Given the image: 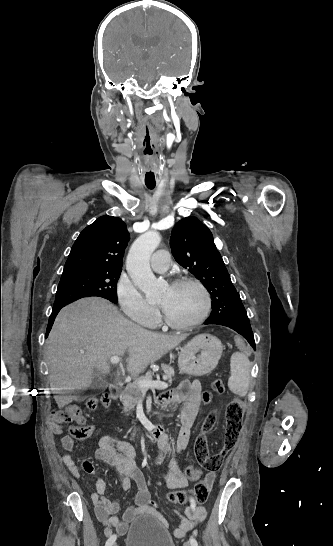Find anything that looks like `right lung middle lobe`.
I'll return each mask as SVG.
<instances>
[{
	"label": "right lung middle lobe",
	"mask_w": 333,
	"mask_h": 546,
	"mask_svg": "<svg viewBox=\"0 0 333 546\" xmlns=\"http://www.w3.org/2000/svg\"><path fill=\"white\" fill-rule=\"evenodd\" d=\"M122 270L75 272L62 275L53 308L83 297L98 296L117 303L116 286Z\"/></svg>",
	"instance_id": "obj_1"
}]
</instances>
